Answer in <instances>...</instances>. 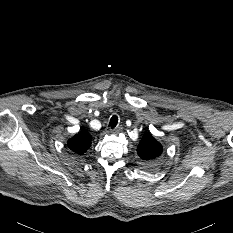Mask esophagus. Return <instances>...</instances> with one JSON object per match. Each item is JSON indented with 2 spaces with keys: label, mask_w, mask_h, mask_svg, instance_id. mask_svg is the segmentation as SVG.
Masks as SVG:
<instances>
[{
  "label": "esophagus",
  "mask_w": 233,
  "mask_h": 233,
  "mask_svg": "<svg viewBox=\"0 0 233 233\" xmlns=\"http://www.w3.org/2000/svg\"><path fill=\"white\" fill-rule=\"evenodd\" d=\"M122 129H123V127L120 125V126L115 127L114 131H115V133H119L122 131Z\"/></svg>",
  "instance_id": "esophagus-1"
}]
</instances>
